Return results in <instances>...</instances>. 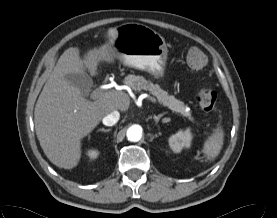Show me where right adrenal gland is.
I'll use <instances>...</instances> for the list:
<instances>
[{"mask_svg":"<svg viewBox=\"0 0 277 218\" xmlns=\"http://www.w3.org/2000/svg\"><path fill=\"white\" fill-rule=\"evenodd\" d=\"M98 131L109 132V131H111V129H104V128H101V129H99Z\"/></svg>","mask_w":277,"mask_h":218,"instance_id":"1","label":"right adrenal gland"}]
</instances>
